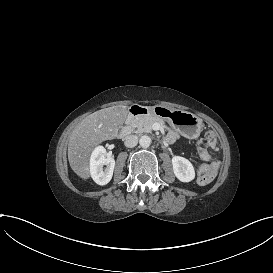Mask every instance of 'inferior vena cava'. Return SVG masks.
Here are the masks:
<instances>
[{
	"label": "inferior vena cava",
	"instance_id": "1",
	"mask_svg": "<svg viewBox=\"0 0 273 273\" xmlns=\"http://www.w3.org/2000/svg\"><path fill=\"white\" fill-rule=\"evenodd\" d=\"M125 146L128 148H133L138 144V136L137 135H128L125 138L124 142Z\"/></svg>",
	"mask_w": 273,
	"mask_h": 273
}]
</instances>
